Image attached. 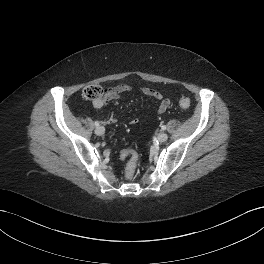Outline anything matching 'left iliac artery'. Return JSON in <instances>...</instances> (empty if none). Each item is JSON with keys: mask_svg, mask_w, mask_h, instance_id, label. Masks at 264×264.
<instances>
[{"mask_svg": "<svg viewBox=\"0 0 264 264\" xmlns=\"http://www.w3.org/2000/svg\"><path fill=\"white\" fill-rule=\"evenodd\" d=\"M161 128H162V130H165L166 129V126L165 125H162Z\"/></svg>", "mask_w": 264, "mask_h": 264, "instance_id": "1", "label": "left iliac artery"}]
</instances>
